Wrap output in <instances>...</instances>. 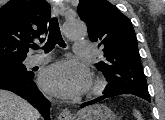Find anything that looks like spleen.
Masks as SVG:
<instances>
[{
  "instance_id": "spleen-1",
  "label": "spleen",
  "mask_w": 165,
  "mask_h": 120,
  "mask_svg": "<svg viewBox=\"0 0 165 120\" xmlns=\"http://www.w3.org/2000/svg\"><path fill=\"white\" fill-rule=\"evenodd\" d=\"M134 116L137 120H142L141 113L137 110H134Z\"/></svg>"
}]
</instances>
